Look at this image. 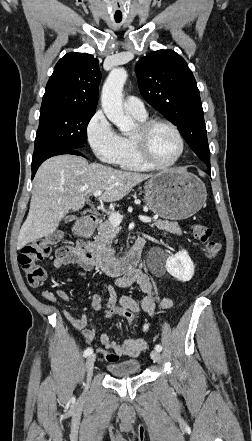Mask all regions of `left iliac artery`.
<instances>
[{
  "label": "left iliac artery",
  "mask_w": 252,
  "mask_h": 441,
  "mask_svg": "<svg viewBox=\"0 0 252 441\" xmlns=\"http://www.w3.org/2000/svg\"><path fill=\"white\" fill-rule=\"evenodd\" d=\"M142 327H143V330H146L148 327H149V324L147 323V322H144L143 324H142ZM155 350H157V351H161L162 350V346L160 345V344H157L156 346H155Z\"/></svg>",
  "instance_id": "left-iliac-artery-1"
}]
</instances>
